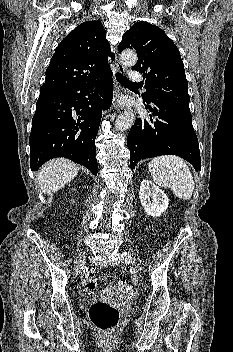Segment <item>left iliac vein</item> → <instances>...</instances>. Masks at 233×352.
I'll use <instances>...</instances> for the list:
<instances>
[{"label":"left iliac vein","instance_id":"obj_1","mask_svg":"<svg viewBox=\"0 0 233 352\" xmlns=\"http://www.w3.org/2000/svg\"><path fill=\"white\" fill-rule=\"evenodd\" d=\"M123 262L132 264L138 271L142 270L141 263L131 254H127L124 257Z\"/></svg>","mask_w":233,"mask_h":352}]
</instances>
